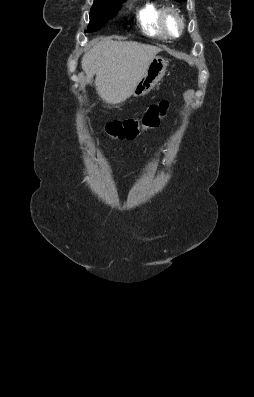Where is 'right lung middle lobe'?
Segmentation results:
<instances>
[{
	"label": "right lung middle lobe",
	"mask_w": 254,
	"mask_h": 397,
	"mask_svg": "<svg viewBox=\"0 0 254 397\" xmlns=\"http://www.w3.org/2000/svg\"><path fill=\"white\" fill-rule=\"evenodd\" d=\"M125 0H94L86 32H95L115 17Z\"/></svg>",
	"instance_id": "dd1d6c3e"
}]
</instances>
